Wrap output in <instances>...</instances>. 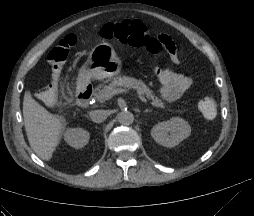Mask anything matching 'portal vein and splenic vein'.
I'll use <instances>...</instances> for the list:
<instances>
[{
    "instance_id": "obj_1",
    "label": "portal vein and splenic vein",
    "mask_w": 254,
    "mask_h": 216,
    "mask_svg": "<svg viewBox=\"0 0 254 216\" xmlns=\"http://www.w3.org/2000/svg\"><path fill=\"white\" fill-rule=\"evenodd\" d=\"M126 92H129V91L126 90V89H123V88L109 89V90L106 91L104 97H105V99H111L113 96H115L117 94L126 93ZM131 94L136 96L137 98H139L145 104L148 103L147 100L142 95L137 94V93H133V92Z\"/></svg>"
}]
</instances>
